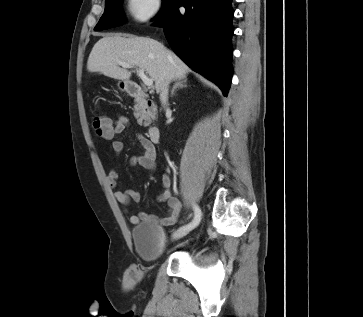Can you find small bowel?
Returning a JSON list of instances; mask_svg holds the SVG:
<instances>
[{
	"label": "small bowel",
	"instance_id": "1",
	"mask_svg": "<svg viewBox=\"0 0 363 317\" xmlns=\"http://www.w3.org/2000/svg\"><path fill=\"white\" fill-rule=\"evenodd\" d=\"M129 127V119L120 115L114 123H111L110 129L107 131L100 132L99 135L107 140H111V146L115 153H120L123 150V142L115 139V137L123 133ZM137 139L144 149V153L141 156H134L130 159V165H140L145 169L154 171L156 169V149L154 143L144 136L143 134H137ZM119 172L115 169L111 170L108 174L107 181L108 184L115 188L118 184ZM161 183L163 190L161 194L157 197L158 201L166 202L168 205V214L165 217L159 218L156 215L140 213L139 215H130L129 220L131 223L136 224L141 219L149 220L152 222H158L162 225H172L176 222L180 210L181 203L173 195L171 191V178L168 174H163L161 178ZM115 197L118 203L127 208L129 204L133 202H140L141 195L138 191L134 189L128 190H117L115 191Z\"/></svg>",
	"mask_w": 363,
	"mask_h": 317
}]
</instances>
